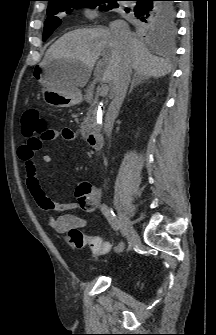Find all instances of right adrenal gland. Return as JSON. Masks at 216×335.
I'll return each instance as SVG.
<instances>
[{
  "label": "right adrenal gland",
  "mask_w": 216,
  "mask_h": 335,
  "mask_svg": "<svg viewBox=\"0 0 216 335\" xmlns=\"http://www.w3.org/2000/svg\"><path fill=\"white\" fill-rule=\"evenodd\" d=\"M148 79V77L146 76H139V75H134L132 80H131V85H130V89L128 91V95L132 92L133 88L136 87L137 85L144 83L146 80Z\"/></svg>",
  "instance_id": "obj_1"
}]
</instances>
